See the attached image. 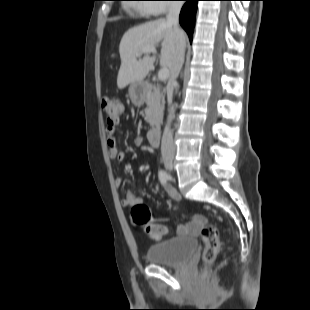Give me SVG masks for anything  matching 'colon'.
<instances>
[{
  "label": "colon",
  "instance_id": "5ec220e1",
  "mask_svg": "<svg viewBox=\"0 0 310 310\" xmlns=\"http://www.w3.org/2000/svg\"><path fill=\"white\" fill-rule=\"evenodd\" d=\"M101 106L107 117L108 125L116 126L123 109L121 102L116 98L105 97L102 99ZM131 218L136 225H146L153 220L149 208L141 203L132 206ZM201 237L204 243L203 259L206 263H212L217 258L220 249V238L217 227L213 224H202Z\"/></svg>",
  "mask_w": 310,
  "mask_h": 310
}]
</instances>
